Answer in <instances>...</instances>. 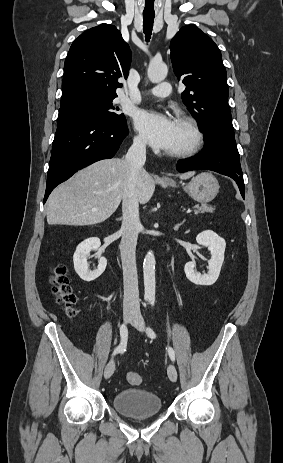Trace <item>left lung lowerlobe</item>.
Wrapping results in <instances>:
<instances>
[{"label":"left lung lower lobe","mask_w":283,"mask_h":463,"mask_svg":"<svg viewBox=\"0 0 283 463\" xmlns=\"http://www.w3.org/2000/svg\"><path fill=\"white\" fill-rule=\"evenodd\" d=\"M179 172L190 170H212L234 179L245 197L243 174L240 166L239 153L218 144H205L201 153L189 159L179 160L176 166Z\"/></svg>","instance_id":"0a47b994"}]
</instances>
